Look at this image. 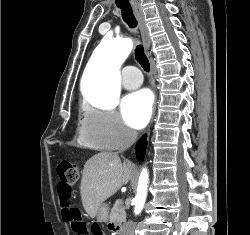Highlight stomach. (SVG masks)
Instances as JSON below:
<instances>
[{"label":"stomach","instance_id":"stomach-1","mask_svg":"<svg viewBox=\"0 0 250 235\" xmlns=\"http://www.w3.org/2000/svg\"><path fill=\"white\" fill-rule=\"evenodd\" d=\"M96 218L98 222H106L108 220V206L105 203L99 206Z\"/></svg>","mask_w":250,"mask_h":235}]
</instances>
